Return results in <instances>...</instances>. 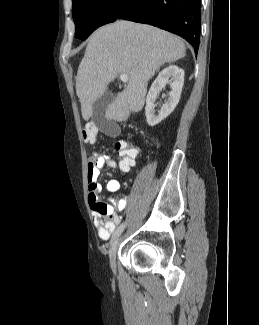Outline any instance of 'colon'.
Wrapping results in <instances>:
<instances>
[{"mask_svg":"<svg viewBox=\"0 0 259 325\" xmlns=\"http://www.w3.org/2000/svg\"><path fill=\"white\" fill-rule=\"evenodd\" d=\"M97 136V128L94 124H87L83 129V138L86 141L93 142ZM116 149L123 157L134 155V148L125 142H117Z\"/></svg>","mask_w":259,"mask_h":325,"instance_id":"obj_1","label":"colon"}]
</instances>
